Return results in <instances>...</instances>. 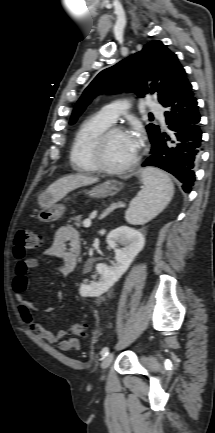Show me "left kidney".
Segmentation results:
<instances>
[{"instance_id": "obj_1", "label": "left kidney", "mask_w": 215, "mask_h": 433, "mask_svg": "<svg viewBox=\"0 0 215 433\" xmlns=\"http://www.w3.org/2000/svg\"><path fill=\"white\" fill-rule=\"evenodd\" d=\"M106 242L115 251V263L112 266L100 263L97 265V273L100 275L99 281H92L90 284L82 283L79 293L82 297H98L107 292L126 272L133 259L143 249L145 239L137 230L120 226L112 230ZM121 245V248H117Z\"/></svg>"}]
</instances>
